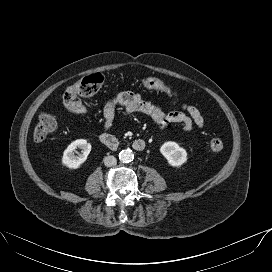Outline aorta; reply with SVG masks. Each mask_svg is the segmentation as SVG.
<instances>
[{"instance_id":"aorta-1","label":"aorta","mask_w":272,"mask_h":272,"mask_svg":"<svg viewBox=\"0 0 272 272\" xmlns=\"http://www.w3.org/2000/svg\"><path fill=\"white\" fill-rule=\"evenodd\" d=\"M133 158H134V155H133V152H132L131 149H125V150H122V151L119 153V159H120V161H122V162L128 163V162H130Z\"/></svg>"}]
</instances>
